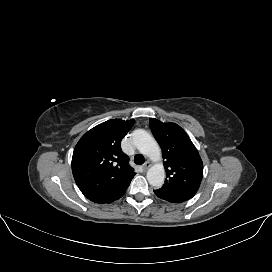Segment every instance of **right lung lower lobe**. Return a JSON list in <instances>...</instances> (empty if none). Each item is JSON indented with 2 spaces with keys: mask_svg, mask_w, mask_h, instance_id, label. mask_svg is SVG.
<instances>
[{
  "mask_svg": "<svg viewBox=\"0 0 272 272\" xmlns=\"http://www.w3.org/2000/svg\"><path fill=\"white\" fill-rule=\"evenodd\" d=\"M122 196H123V194H122L120 197H122ZM120 197H119V198H120ZM119 198H117V199H119ZM117 199H116V200H117Z\"/></svg>",
  "mask_w": 272,
  "mask_h": 272,
  "instance_id": "obj_1",
  "label": "right lung lower lobe"
}]
</instances>
